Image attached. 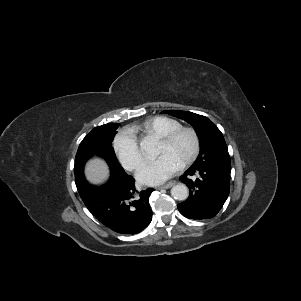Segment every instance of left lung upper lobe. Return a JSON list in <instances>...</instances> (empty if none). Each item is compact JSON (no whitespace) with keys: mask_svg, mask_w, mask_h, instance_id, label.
<instances>
[{"mask_svg":"<svg viewBox=\"0 0 301 301\" xmlns=\"http://www.w3.org/2000/svg\"><path fill=\"white\" fill-rule=\"evenodd\" d=\"M190 123L200 138V154L192 166H216L231 169L230 156L222 133L207 117L180 110H164Z\"/></svg>","mask_w":301,"mask_h":301,"instance_id":"1","label":"left lung upper lobe"}]
</instances>
